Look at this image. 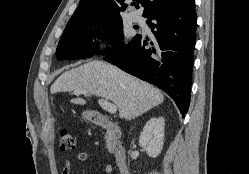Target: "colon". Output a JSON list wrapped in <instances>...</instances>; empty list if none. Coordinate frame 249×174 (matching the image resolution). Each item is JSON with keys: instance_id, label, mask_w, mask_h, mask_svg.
Here are the masks:
<instances>
[{"instance_id": "colon-1", "label": "colon", "mask_w": 249, "mask_h": 174, "mask_svg": "<svg viewBox=\"0 0 249 174\" xmlns=\"http://www.w3.org/2000/svg\"><path fill=\"white\" fill-rule=\"evenodd\" d=\"M58 139L62 150H72L75 148L74 138L68 129H60L58 133Z\"/></svg>"}]
</instances>
